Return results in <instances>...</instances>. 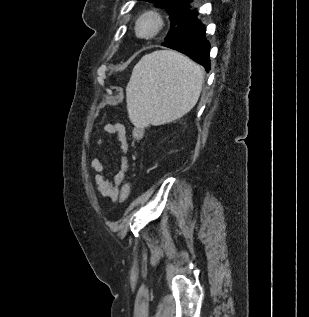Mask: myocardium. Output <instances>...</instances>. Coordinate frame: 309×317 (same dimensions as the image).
<instances>
[{
	"mask_svg": "<svg viewBox=\"0 0 309 317\" xmlns=\"http://www.w3.org/2000/svg\"><path fill=\"white\" fill-rule=\"evenodd\" d=\"M163 24V19L158 13L148 11L138 18L136 32L144 39H152L162 30Z\"/></svg>",
	"mask_w": 309,
	"mask_h": 317,
	"instance_id": "f54148a6",
	"label": "myocardium"
}]
</instances>
